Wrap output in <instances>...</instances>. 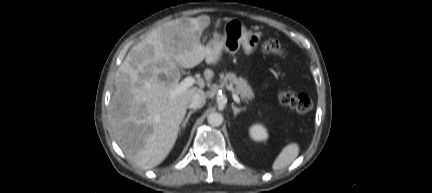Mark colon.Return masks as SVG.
Returning <instances> with one entry per match:
<instances>
[{
    "instance_id": "colon-1",
    "label": "colon",
    "mask_w": 432,
    "mask_h": 193,
    "mask_svg": "<svg viewBox=\"0 0 432 193\" xmlns=\"http://www.w3.org/2000/svg\"><path fill=\"white\" fill-rule=\"evenodd\" d=\"M262 50L264 54L270 57H281L284 54V47L276 37L268 39L263 44ZM278 97L281 104L290 107L298 113H307L313 108L311 98L304 93L296 94L292 90L284 88L279 92Z\"/></svg>"
}]
</instances>
